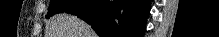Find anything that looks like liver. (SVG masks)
Here are the masks:
<instances>
[{"label": "liver", "mask_w": 219, "mask_h": 37, "mask_svg": "<svg viewBox=\"0 0 219 37\" xmlns=\"http://www.w3.org/2000/svg\"><path fill=\"white\" fill-rule=\"evenodd\" d=\"M46 35L45 37H97L84 21L66 13L50 19Z\"/></svg>", "instance_id": "1"}]
</instances>
